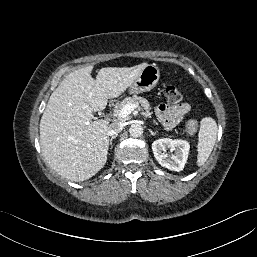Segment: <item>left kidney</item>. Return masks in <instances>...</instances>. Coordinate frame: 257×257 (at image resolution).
I'll return each instance as SVG.
<instances>
[{
    "mask_svg": "<svg viewBox=\"0 0 257 257\" xmlns=\"http://www.w3.org/2000/svg\"><path fill=\"white\" fill-rule=\"evenodd\" d=\"M189 148L187 141L179 139L163 138L152 143V151L159 164L177 172L183 170L188 158ZM167 150L174 152V154L168 155Z\"/></svg>",
    "mask_w": 257,
    "mask_h": 257,
    "instance_id": "obj_1",
    "label": "left kidney"
}]
</instances>
